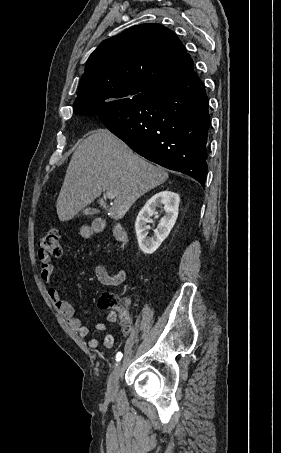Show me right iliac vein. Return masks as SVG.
<instances>
[{
  "instance_id": "right-iliac-vein-1",
  "label": "right iliac vein",
  "mask_w": 281,
  "mask_h": 453,
  "mask_svg": "<svg viewBox=\"0 0 281 453\" xmlns=\"http://www.w3.org/2000/svg\"><path fill=\"white\" fill-rule=\"evenodd\" d=\"M121 363V362H120ZM124 370V367L122 365H119L117 369L114 370V374H111L108 382V387H107V392L108 393H115L116 388H117V382L119 379V376L121 375L122 371Z\"/></svg>"
}]
</instances>
